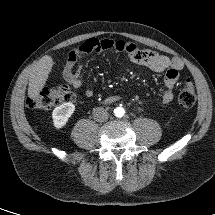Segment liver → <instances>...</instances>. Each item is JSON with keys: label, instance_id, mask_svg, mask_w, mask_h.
Instances as JSON below:
<instances>
[{"label": "liver", "instance_id": "obj_1", "mask_svg": "<svg viewBox=\"0 0 215 215\" xmlns=\"http://www.w3.org/2000/svg\"><path fill=\"white\" fill-rule=\"evenodd\" d=\"M53 66V59L49 55L43 56L34 65L29 76L28 97L35 99L45 86L48 75Z\"/></svg>", "mask_w": 215, "mask_h": 215}]
</instances>
